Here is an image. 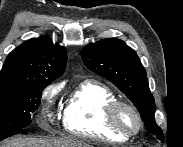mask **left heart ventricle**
<instances>
[{"label": "left heart ventricle", "instance_id": "b2bd125f", "mask_svg": "<svg viewBox=\"0 0 183 147\" xmlns=\"http://www.w3.org/2000/svg\"><path fill=\"white\" fill-rule=\"evenodd\" d=\"M119 122L127 129H133L136 127V119L132 112L127 109H121L119 112Z\"/></svg>", "mask_w": 183, "mask_h": 147}]
</instances>
